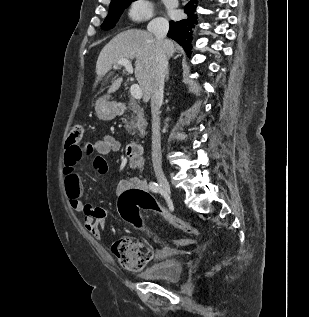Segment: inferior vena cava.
Returning <instances> with one entry per match:
<instances>
[{
  "label": "inferior vena cava",
  "instance_id": "602c4592",
  "mask_svg": "<svg viewBox=\"0 0 309 317\" xmlns=\"http://www.w3.org/2000/svg\"><path fill=\"white\" fill-rule=\"evenodd\" d=\"M160 44V49L156 58V67L151 94V114H152V162L156 172L162 171L161 136H160V107L164 97V81L168 72V59L173 51V44L165 39L169 23L164 18L153 19L148 27Z\"/></svg>",
  "mask_w": 309,
  "mask_h": 317
}]
</instances>
